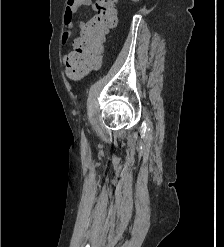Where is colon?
Returning <instances> with one entry per match:
<instances>
[{
    "mask_svg": "<svg viewBox=\"0 0 224 247\" xmlns=\"http://www.w3.org/2000/svg\"><path fill=\"white\" fill-rule=\"evenodd\" d=\"M68 0L67 5H71ZM117 0H97V14L86 23L80 37L77 39L76 54L66 63L67 75L78 79L88 73L96 61L92 55L101 50L105 36L116 26Z\"/></svg>",
    "mask_w": 224,
    "mask_h": 247,
    "instance_id": "obj_1",
    "label": "colon"
}]
</instances>
